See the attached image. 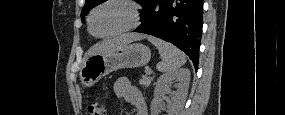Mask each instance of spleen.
Here are the masks:
<instances>
[{"label": "spleen", "instance_id": "1", "mask_svg": "<svg viewBox=\"0 0 285 115\" xmlns=\"http://www.w3.org/2000/svg\"><path fill=\"white\" fill-rule=\"evenodd\" d=\"M148 41L156 46L162 59L156 66L159 72H171L186 63L185 54L171 43L152 36L148 37Z\"/></svg>", "mask_w": 285, "mask_h": 115}]
</instances>
